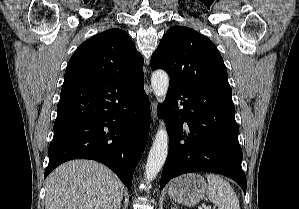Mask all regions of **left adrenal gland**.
Here are the masks:
<instances>
[{
  "label": "left adrenal gland",
  "instance_id": "obj_1",
  "mask_svg": "<svg viewBox=\"0 0 299 209\" xmlns=\"http://www.w3.org/2000/svg\"><path fill=\"white\" fill-rule=\"evenodd\" d=\"M175 207H176V205L174 204V207H172L171 209H178L177 207L176 208Z\"/></svg>",
  "mask_w": 299,
  "mask_h": 209
}]
</instances>
